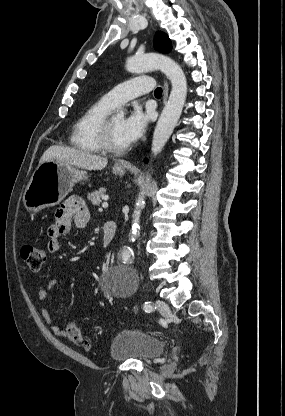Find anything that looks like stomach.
I'll list each match as a JSON object with an SVG mask.
<instances>
[{
	"label": "stomach",
	"mask_w": 285,
	"mask_h": 416,
	"mask_svg": "<svg viewBox=\"0 0 285 416\" xmlns=\"http://www.w3.org/2000/svg\"><path fill=\"white\" fill-rule=\"evenodd\" d=\"M127 170H131V168H127ZM112 172L124 176L126 166H122L118 162ZM81 180H88L87 172L77 170V168L64 164V162H58V160L44 162L36 168L28 186H26L23 204L29 212H39L43 208L57 206L71 192L74 184L81 182Z\"/></svg>",
	"instance_id": "1"
}]
</instances>
